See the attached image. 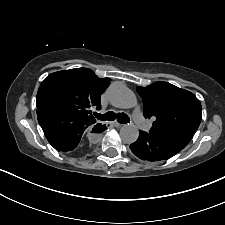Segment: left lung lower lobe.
Segmentation results:
<instances>
[{"instance_id": "1", "label": "left lung lower lobe", "mask_w": 225, "mask_h": 225, "mask_svg": "<svg viewBox=\"0 0 225 225\" xmlns=\"http://www.w3.org/2000/svg\"><path fill=\"white\" fill-rule=\"evenodd\" d=\"M191 139L186 136H156L140 131L138 139L130 145V149L138 158L155 162L171 158Z\"/></svg>"}]
</instances>
